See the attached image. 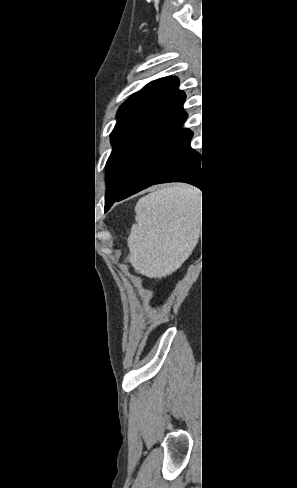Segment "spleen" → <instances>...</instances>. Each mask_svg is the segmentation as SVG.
<instances>
[{"mask_svg":"<svg viewBox=\"0 0 297 488\" xmlns=\"http://www.w3.org/2000/svg\"><path fill=\"white\" fill-rule=\"evenodd\" d=\"M199 191L178 184L139 199L128 238L129 262L148 277H164L186 260L195 244Z\"/></svg>","mask_w":297,"mask_h":488,"instance_id":"3e777b00","label":"spleen"}]
</instances>
